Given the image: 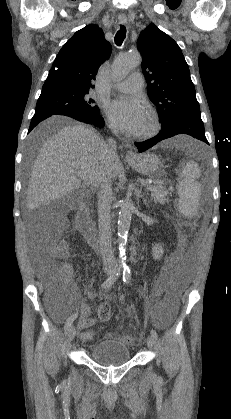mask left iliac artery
Masks as SVG:
<instances>
[{"label":"left iliac artery","instance_id":"44dca946","mask_svg":"<svg viewBox=\"0 0 231 419\" xmlns=\"http://www.w3.org/2000/svg\"><path fill=\"white\" fill-rule=\"evenodd\" d=\"M130 280H131V272H130V269H129V267L127 265H124V269H123V281L127 285V284H129ZM151 336L155 340H157L158 335H157L156 331L153 330V329L151 330Z\"/></svg>","mask_w":231,"mask_h":419}]
</instances>
